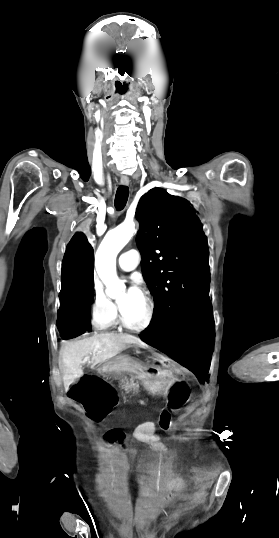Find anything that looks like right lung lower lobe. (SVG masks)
I'll list each match as a JSON object with an SVG mask.
<instances>
[{
    "instance_id": "right-lung-lower-lobe-1",
    "label": "right lung lower lobe",
    "mask_w": 279,
    "mask_h": 538,
    "mask_svg": "<svg viewBox=\"0 0 279 538\" xmlns=\"http://www.w3.org/2000/svg\"><path fill=\"white\" fill-rule=\"evenodd\" d=\"M94 254L83 233H76L67 245L62 262V288L57 327L63 339L91 328L89 305L93 297Z\"/></svg>"
}]
</instances>
